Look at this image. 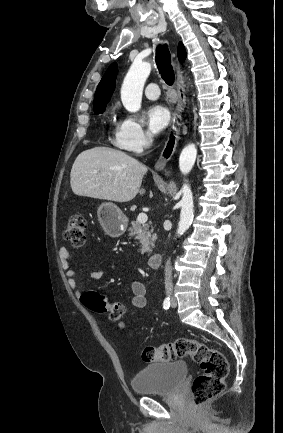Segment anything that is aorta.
Listing matches in <instances>:
<instances>
[{
    "mask_svg": "<svg viewBox=\"0 0 283 433\" xmlns=\"http://www.w3.org/2000/svg\"><path fill=\"white\" fill-rule=\"evenodd\" d=\"M151 71L148 62H134L121 87V101L129 112H137L141 108L143 87ZM197 156L195 144L185 146L179 157V168L183 175L188 174L194 166ZM182 199L180 201L181 213L177 228V235H183L190 227L194 217L193 195L188 184H184L180 190Z\"/></svg>",
    "mask_w": 283,
    "mask_h": 433,
    "instance_id": "762f6f07",
    "label": "aorta"
}]
</instances>
